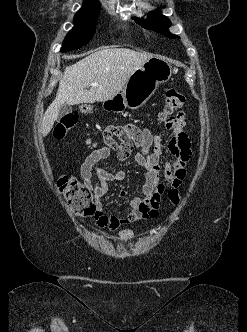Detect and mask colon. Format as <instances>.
Here are the masks:
<instances>
[{"label":"colon","instance_id":"5ec220e1","mask_svg":"<svg viewBox=\"0 0 247 332\" xmlns=\"http://www.w3.org/2000/svg\"><path fill=\"white\" fill-rule=\"evenodd\" d=\"M186 98L184 94L176 89H168L165 92L164 107L160 114L161 120L168 128H174L182 119L181 108L184 106ZM91 111L89 105L80 107V113L88 114ZM78 113H69L62 117L53 130V137L56 140L64 139L67 134L77 125ZM58 188L70 207L80 216L96 215V206L92 202L87 189L77 179L73 177H60L57 182ZM169 200L172 203L179 201L177 190L168 192Z\"/></svg>","mask_w":247,"mask_h":332}]
</instances>
